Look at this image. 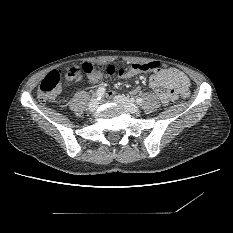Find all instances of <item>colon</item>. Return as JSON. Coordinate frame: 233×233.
<instances>
[{"label":"colon","mask_w":233,"mask_h":233,"mask_svg":"<svg viewBox=\"0 0 233 233\" xmlns=\"http://www.w3.org/2000/svg\"><path fill=\"white\" fill-rule=\"evenodd\" d=\"M161 69L159 62H147V63H134L128 69L120 70V74L127 76L130 73L136 72H157ZM116 72V68L113 65H93L90 63H84L82 65L73 66L67 68L64 72L65 76L68 77H79L81 74H86L90 78L98 77L101 75L112 76ZM63 73L60 70H55L50 72L44 79L41 81L37 97L38 100L42 103L52 102L56 96L62 91L61 79ZM181 95L183 98H188L190 96L189 88L185 87L182 89Z\"/></svg>","instance_id":"5ec220e1"}]
</instances>
